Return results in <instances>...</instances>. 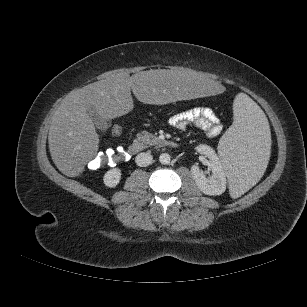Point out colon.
Returning <instances> with one entry per match:
<instances>
[{"label": "colon", "mask_w": 307, "mask_h": 307, "mask_svg": "<svg viewBox=\"0 0 307 307\" xmlns=\"http://www.w3.org/2000/svg\"><path fill=\"white\" fill-rule=\"evenodd\" d=\"M122 131L123 129L120 125H115L111 133L113 136H120ZM125 154L126 149L124 146L101 151L89 160L88 166L92 170H97L105 166H114L125 157Z\"/></svg>", "instance_id": "obj_1"}]
</instances>
